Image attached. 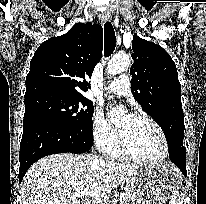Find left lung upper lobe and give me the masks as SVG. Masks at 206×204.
I'll return each mask as SVG.
<instances>
[{
    "label": "left lung upper lobe",
    "mask_w": 206,
    "mask_h": 204,
    "mask_svg": "<svg viewBox=\"0 0 206 204\" xmlns=\"http://www.w3.org/2000/svg\"><path fill=\"white\" fill-rule=\"evenodd\" d=\"M132 49L134 63L130 75L134 98L164 130L168 144L183 143L181 85L174 61L162 47L136 34Z\"/></svg>",
    "instance_id": "5c2ea615"
}]
</instances>
